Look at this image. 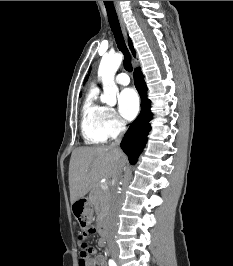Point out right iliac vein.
Listing matches in <instances>:
<instances>
[{
    "instance_id": "1",
    "label": "right iliac vein",
    "mask_w": 233,
    "mask_h": 266,
    "mask_svg": "<svg viewBox=\"0 0 233 266\" xmlns=\"http://www.w3.org/2000/svg\"><path fill=\"white\" fill-rule=\"evenodd\" d=\"M111 255H112V257L117 261L118 260V253H117V251H111Z\"/></svg>"
}]
</instances>
